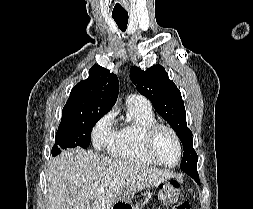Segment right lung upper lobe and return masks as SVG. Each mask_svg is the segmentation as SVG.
<instances>
[{"instance_id":"obj_1","label":"right lung upper lobe","mask_w":253,"mask_h":209,"mask_svg":"<svg viewBox=\"0 0 253 209\" xmlns=\"http://www.w3.org/2000/svg\"><path fill=\"white\" fill-rule=\"evenodd\" d=\"M118 94V78L99 65L89 70V77L80 81L70 93L62 110L64 122L71 118L90 113L106 114L116 103Z\"/></svg>"}]
</instances>
